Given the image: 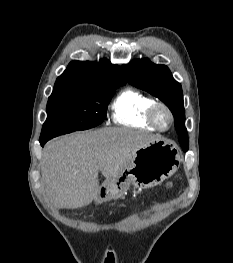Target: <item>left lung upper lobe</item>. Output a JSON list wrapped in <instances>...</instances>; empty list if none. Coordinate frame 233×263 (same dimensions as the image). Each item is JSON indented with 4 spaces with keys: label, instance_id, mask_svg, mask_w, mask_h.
<instances>
[{
    "label": "left lung upper lobe",
    "instance_id": "left-lung-upper-lobe-1",
    "mask_svg": "<svg viewBox=\"0 0 233 263\" xmlns=\"http://www.w3.org/2000/svg\"><path fill=\"white\" fill-rule=\"evenodd\" d=\"M122 71L131 85L158 97L169 107L175 119L178 138L188 140L182 88L168 67L142 59L122 65Z\"/></svg>",
    "mask_w": 233,
    "mask_h": 263
}]
</instances>
